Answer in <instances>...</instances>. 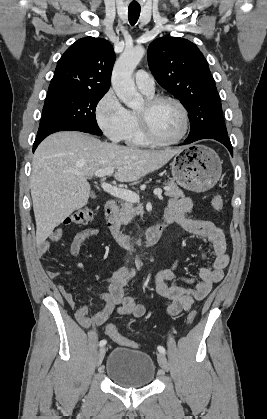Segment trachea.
<instances>
[{
  "label": "trachea",
  "mask_w": 267,
  "mask_h": 419,
  "mask_svg": "<svg viewBox=\"0 0 267 419\" xmlns=\"http://www.w3.org/2000/svg\"><path fill=\"white\" fill-rule=\"evenodd\" d=\"M140 10H141L140 6H137V7L129 6L128 19L131 25H134L138 21L139 16H140Z\"/></svg>",
  "instance_id": "3493384b"
}]
</instances>
